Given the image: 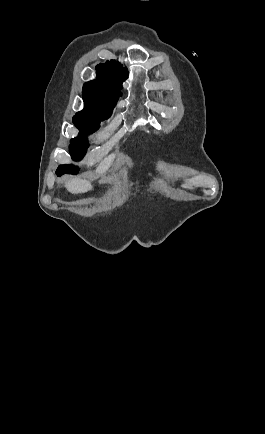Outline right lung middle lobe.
Here are the masks:
<instances>
[{
	"mask_svg": "<svg viewBox=\"0 0 265 434\" xmlns=\"http://www.w3.org/2000/svg\"><path fill=\"white\" fill-rule=\"evenodd\" d=\"M83 100L85 104L84 110L73 117L74 124L80 131V135L71 140L70 153L74 160L82 159L89 146L85 135L98 130L100 121L107 119L111 115L112 108L116 104L103 97L86 93H83ZM57 170L76 174L79 168L73 165H60Z\"/></svg>",
	"mask_w": 265,
	"mask_h": 434,
	"instance_id": "dd1d6c3e",
	"label": "right lung middle lobe"
}]
</instances>
